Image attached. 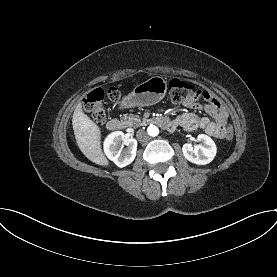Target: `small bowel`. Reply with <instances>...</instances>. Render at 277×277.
Masks as SVG:
<instances>
[{"label": "small bowel", "mask_w": 277, "mask_h": 277, "mask_svg": "<svg viewBox=\"0 0 277 277\" xmlns=\"http://www.w3.org/2000/svg\"><path fill=\"white\" fill-rule=\"evenodd\" d=\"M199 97H202L206 101L205 105L197 101ZM186 106L193 110L204 109L212 119L187 112L179 115L172 121L175 127L180 126L188 131L201 128L212 137L224 138L226 126L228 125V112L221 101L212 92L208 90H199L197 98L187 102Z\"/></svg>", "instance_id": "small-bowel-1"}]
</instances>
